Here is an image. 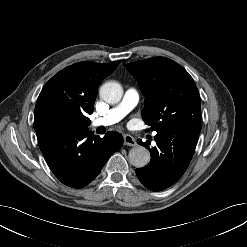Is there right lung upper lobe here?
Returning a JSON list of instances; mask_svg holds the SVG:
<instances>
[{
	"mask_svg": "<svg viewBox=\"0 0 247 247\" xmlns=\"http://www.w3.org/2000/svg\"><path fill=\"white\" fill-rule=\"evenodd\" d=\"M119 62L83 61L54 75L43 87L35 107L34 129L38 140L47 132V124L56 117H67L87 129L100 81L110 75Z\"/></svg>",
	"mask_w": 247,
	"mask_h": 247,
	"instance_id": "1",
	"label": "right lung upper lobe"
}]
</instances>
